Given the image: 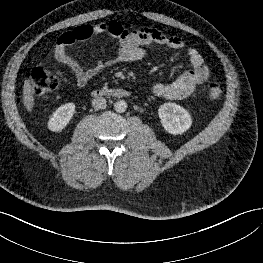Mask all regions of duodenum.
Here are the masks:
<instances>
[{"label":"duodenum","instance_id":"410a0bca","mask_svg":"<svg viewBox=\"0 0 263 263\" xmlns=\"http://www.w3.org/2000/svg\"><path fill=\"white\" fill-rule=\"evenodd\" d=\"M95 97H117L124 98L130 96V92L121 88H99L92 92Z\"/></svg>","mask_w":263,"mask_h":263}]
</instances>
